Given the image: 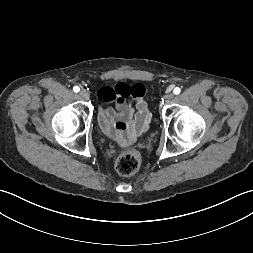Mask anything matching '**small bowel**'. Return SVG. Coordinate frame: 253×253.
Returning <instances> with one entry per match:
<instances>
[{"label": "small bowel", "mask_w": 253, "mask_h": 253, "mask_svg": "<svg viewBox=\"0 0 253 253\" xmlns=\"http://www.w3.org/2000/svg\"><path fill=\"white\" fill-rule=\"evenodd\" d=\"M145 91L142 84L129 86L125 83L98 90L99 100L116 102L115 109L99 108L98 117L102 131L120 145L135 139L148 127L150 114L144 98Z\"/></svg>", "instance_id": "small-bowel-1"}]
</instances>
